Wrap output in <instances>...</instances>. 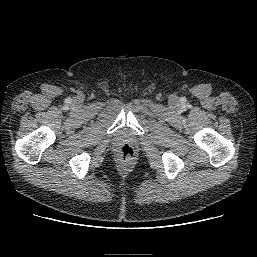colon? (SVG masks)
Segmentation results:
<instances>
[{
  "label": "colon",
  "mask_w": 257,
  "mask_h": 257,
  "mask_svg": "<svg viewBox=\"0 0 257 257\" xmlns=\"http://www.w3.org/2000/svg\"><path fill=\"white\" fill-rule=\"evenodd\" d=\"M134 156V150L129 144H124L119 149V159L123 164L131 162Z\"/></svg>",
  "instance_id": "1"
}]
</instances>
